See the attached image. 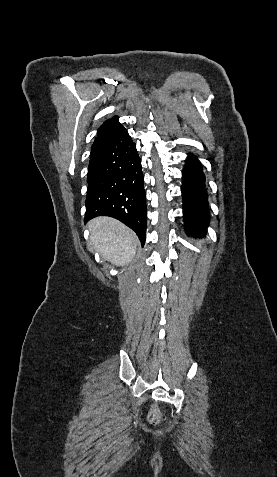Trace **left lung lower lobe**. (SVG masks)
Instances as JSON below:
<instances>
[{"instance_id": "1", "label": "left lung lower lobe", "mask_w": 277, "mask_h": 477, "mask_svg": "<svg viewBox=\"0 0 277 477\" xmlns=\"http://www.w3.org/2000/svg\"><path fill=\"white\" fill-rule=\"evenodd\" d=\"M183 213L187 234L203 237L209 221L205 176L198 159L190 155L183 170Z\"/></svg>"}]
</instances>
